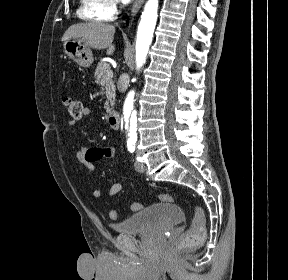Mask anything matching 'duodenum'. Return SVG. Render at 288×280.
Here are the masks:
<instances>
[{"label": "duodenum", "mask_w": 288, "mask_h": 280, "mask_svg": "<svg viewBox=\"0 0 288 280\" xmlns=\"http://www.w3.org/2000/svg\"><path fill=\"white\" fill-rule=\"evenodd\" d=\"M108 124L113 129H119L120 127V115L116 110H112L108 114Z\"/></svg>", "instance_id": "410a0bca"}]
</instances>
